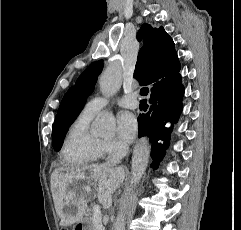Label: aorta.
<instances>
[{
	"label": "aorta",
	"instance_id": "aorta-1",
	"mask_svg": "<svg viewBox=\"0 0 241 230\" xmlns=\"http://www.w3.org/2000/svg\"><path fill=\"white\" fill-rule=\"evenodd\" d=\"M122 84V73L119 67L110 66L100 76L99 86L103 95L113 96L120 89ZM116 128V120L112 113L102 111L93 123L92 131L98 136H113ZM149 160V147L145 139L136 144L131 167V184L139 183L143 177ZM125 206H122L114 221L113 230H125Z\"/></svg>",
	"mask_w": 241,
	"mask_h": 230
}]
</instances>
